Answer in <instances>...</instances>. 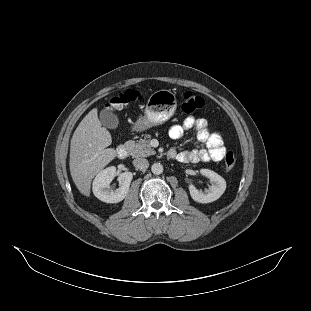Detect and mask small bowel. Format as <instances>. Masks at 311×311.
I'll list each match as a JSON object with an SVG mask.
<instances>
[{
    "label": "small bowel",
    "mask_w": 311,
    "mask_h": 311,
    "mask_svg": "<svg viewBox=\"0 0 311 311\" xmlns=\"http://www.w3.org/2000/svg\"><path fill=\"white\" fill-rule=\"evenodd\" d=\"M190 129L196 130L197 139L203 147L182 152L171 149V158H175L181 163L219 162L223 159L226 153L223 139L219 133L209 131L208 122L204 118L187 117L182 124H176L170 128L169 136L174 140H178Z\"/></svg>",
    "instance_id": "1"
}]
</instances>
